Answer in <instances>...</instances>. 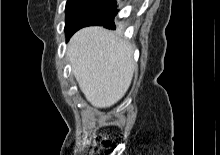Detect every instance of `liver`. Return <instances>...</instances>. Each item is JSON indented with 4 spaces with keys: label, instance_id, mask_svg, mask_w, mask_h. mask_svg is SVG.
<instances>
[{
    "label": "liver",
    "instance_id": "liver-1",
    "mask_svg": "<svg viewBox=\"0 0 220 155\" xmlns=\"http://www.w3.org/2000/svg\"><path fill=\"white\" fill-rule=\"evenodd\" d=\"M66 54L79 88L94 107H110L127 92L135 69L133 48L113 32L83 28L72 36Z\"/></svg>",
    "mask_w": 220,
    "mask_h": 155
}]
</instances>
